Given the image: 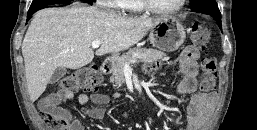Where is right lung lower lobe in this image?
Instances as JSON below:
<instances>
[{
  "label": "right lung lower lobe",
  "instance_id": "1",
  "mask_svg": "<svg viewBox=\"0 0 257 130\" xmlns=\"http://www.w3.org/2000/svg\"><path fill=\"white\" fill-rule=\"evenodd\" d=\"M56 3H60V2H56ZM30 16H31V13H28L27 20L30 18Z\"/></svg>",
  "mask_w": 257,
  "mask_h": 130
}]
</instances>
